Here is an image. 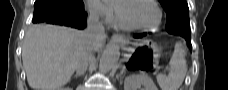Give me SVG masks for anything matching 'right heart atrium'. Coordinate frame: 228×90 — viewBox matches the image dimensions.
<instances>
[{
	"mask_svg": "<svg viewBox=\"0 0 228 90\" xmlns=\"http://www.w3.org/2000/svg\"><path fill=\"white\" fill-rule=\"evenodd\" d=\"M85 3L93 17L102 20L104 23H111L113 21L114 5L110 1L87 0Z\"/></svg>",
	"mask_w": 228,
	"mask_h": 90,
	"instance_id": "right-heart-atrium-1",
	"label": "right heart atrium"
}]
</instances>
